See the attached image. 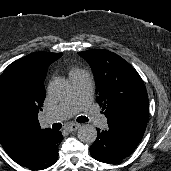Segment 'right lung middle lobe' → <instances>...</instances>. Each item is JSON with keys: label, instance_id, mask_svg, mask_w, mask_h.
<instances>
[{"label": "right lung middle lobe", "instance_id": "right-lung-middle-lobe-1", "mask_svg": "<svg viewBox=\"0 0 171 171\" xmlns=\"http://www.w3.org/2000/svg\"><path fill=\"white\" fill-rule=\"evenodd\" d=\"M23 88L14 74L3 73L0 77V121L8 125L20 123L24 116Z\"/></svg>", "mask_w": 171, "mask_h": 171}]
</instances>
